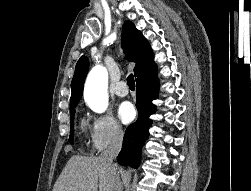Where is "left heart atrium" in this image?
<instances>
[{
  "instance_id": "left-heart-atrium-1",
  "label": "left heart atrium",
  "mask_w": 251,
  "mask_h": 191,
  "mask_svg": "<svg viewBox=\"0 0 251 191\" xmlns=\"http://www.w3.org/2000/svg\"><path fill=\"white\" fill-rule=\"evenodd\" d=\"M118 116L123 123L130 122L135 116L134 106L130 102H123L118 107Z\"/></svg>"
}]
</instances>
